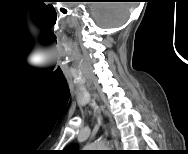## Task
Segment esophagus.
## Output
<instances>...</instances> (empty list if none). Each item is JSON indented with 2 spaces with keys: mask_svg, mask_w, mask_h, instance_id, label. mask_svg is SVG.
Listing matches in <instances>:
<instances>
[{
  "mask_svg": "<svg viewBox=\"0 0 188 154\" xmlns=\"http://www.w3.org/2000/svg\"><path fill=\"white\" fill-rule=\"evenodd\" d=\"M95 96L97 97L96 94H95ZM111 135H112L113 142H114V144H115V146H116V148L118 150L120 148L118 133H117L116 129L113 128V127L111 128Z\"/></svg>",
  "mask_w": 188,
  "mask_h": 154,
  "instance_id": "obj_1",
  "label": "esophagus"
}]
</instances>
